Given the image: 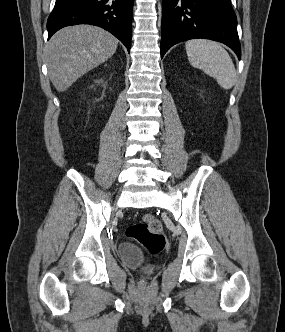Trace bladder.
<instances>
[{
  "label": "bladder",
  "mask_w": 285,
  "mask_h": 332,
  "mask_svg": "<svg viewBox=\"0 0 285 332\" xmlns=\"http://www.w3.org/2000/svg\"><path fill=\"white\" fill-rule=\"evenodd\" d=\"M117 254L120 260L128 266H138L144 261L142 250L131 242L120 243Z\"/></svg>",
  "instance_id": "bladder-1"
}]
</instances>
